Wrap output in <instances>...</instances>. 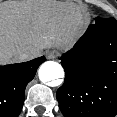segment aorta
<instances>
[{
  "label": "aorta",
  "instance_id": "1",
  "mask_svg": "<svg viewBox=\"0 0 117 117\" xmlns=\"http://www.w3.org/2000/svg\"><path fill=\"white\" fill-rule=\"evenodd\" d=\"M38 76L40 81L47 83L49 81L63 78L64 69L58 62L46 61L39 67Z\"/></svg>",
  "mask_w": 117,
  "mask_h": 117
}]
</instances>
